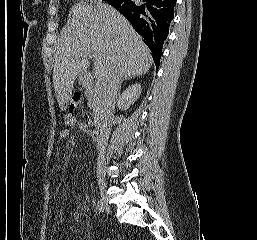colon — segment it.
Returning a JSON list of instances; mask_svg holds the SVG:
<instances>
[{
	"instance_id": "1",
	"label": "colon",
	"mask_w": 257,
	"mask_h": 240,
	"mask_svg": "<svg viewBox=\"0 0 257 240\" xmlns=\"http://www.w3.org/2000/svg\"><path fill=\"white\" fill-rule=\"evenodd\" d=\"M81 104H82L81 95L79 93H74L70 99V106L73 109H78L80 108Z\"/></svg>"
}]
</instances>
